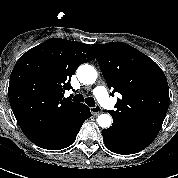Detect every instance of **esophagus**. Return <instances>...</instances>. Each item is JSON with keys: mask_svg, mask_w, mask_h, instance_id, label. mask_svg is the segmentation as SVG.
Here are the masks:
<instances>
[{"mask_svg": "<svg viewBox=\"0 0 178 178\" xmlns=\"http://www.w3.org/2000/svg\"><path fill=\"white\" fill-rule=\"evenodd\" d=\"M90 111L93 115H99L102 112V108L99 105H97V106L91 107Z\"/></svg>", "mask_w": 178, "mask_h": 178, "instance_id": "obj_1", "label": "esophagus"}]
</instances>
